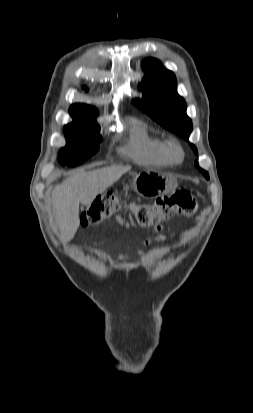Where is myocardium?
Returning <instances> with one entry per match:
<instances>
[{"label": "myocardium", "mask_w": 253, "mask_h": 413, "mask_svg": "<svg viewBox=\"0 0 253 413\" xmlns=\"http://www.w3.org/2000/svg\"><path fill=\"white\" fill-rule=\"evenodd\" d=\"M168 147H169V151H170L172 157L175 160L179 161L183 158V156H184L183 150H182L180 144L177 141H175V140L170 141L168 143Z\"/></svg>", "instance_id": "obj_1"}]
</instances>
